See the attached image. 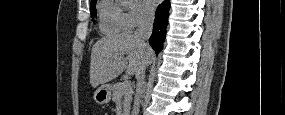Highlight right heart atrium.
<instances>
[{"label":"right heart atrium","mask_w":285,"mask_h":115,"mask_svg":"<svg viewBox=\"0 0 285 115\" xmlns=\"http://www.w3.org/2000/svg\"><path fill=\"white\" fill-rule=\"evenodd\" d=\"M126 31H132L136 28L147 26L152 21V13L143 6L137 5L129 8L125 12Z\"/></svg>","instance_id":"d8ad5b80"}]
</instances>
